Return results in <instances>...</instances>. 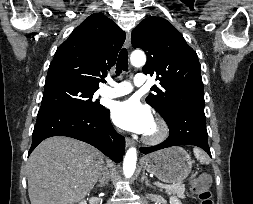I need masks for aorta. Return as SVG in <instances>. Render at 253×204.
Instances as JSON below:
<instances>
[{
	"mask_svg": "<svg viewBox=\"0 0 253 204\" xmlns=\"http://www.w3.org/2000/svg\"><path fill=\"white\" fill-rule=\"evenodd\" d=\"M130 60L133 66L140 67L145 64L146 56L144 52L138 50L132 52ZM136 161H137L136 148L131 147L126 152L123 162V172L126 178H130L133 175L136 168Z\"/></svg>",
	"mask_w": 253,
	"mask_h": 204,
	"instance_id": "aorta-1",
	"label": "aorta"
}]
</instances>
